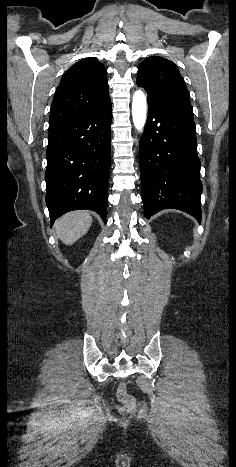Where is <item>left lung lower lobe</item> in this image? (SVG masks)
Segmentation results:
<instances>
[{
    "label": "left lung lower lobe",
    "instance_id": "0a47b994",
    "mask_svg": "<svg viewBox=\"0 0 236 467\" xmlns=\"http://www.w3.org/2000/svg\"><path fill=\"white\" fill-rule=\"evenodd\" d=\"M148 105L139 145L145 217L173 208L201 222V164L192 107Z\"/></svg>",
    "mask_w": 236,
    "mask_h": 467
}]
</instances>
